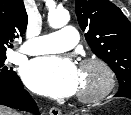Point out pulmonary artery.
I'll return each instance as SVG.
<instances>
[{"instance_id": "1", "label": "pulmonary artery", "mask_w": 131, "mask_h": 115, "mask_svg": "<svg viewBox=\"0 0 131 115\" xmlns=\"http://www.w3.org/2000/svg\"><path fill=\"white\" fill-rule=\"evenodd\" d=\"M77 42V30L66 26L59 31L26 41L20 51L28 55L63 52L71 49Z\"/></svg>"}]
</instances>
